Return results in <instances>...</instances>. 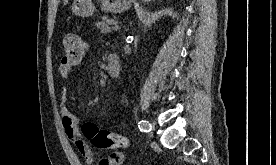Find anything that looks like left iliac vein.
Here are the masks:
<instances>
[{
	"label": "left iliac vein",
	"mask_w": 276,
	"mask_h": 165,
	"mask_svg": "<svg viewBox=\"0 0 276 165\" xmlns=\"http://www.w3.org/2000/svg\"><path fill=\"white\" fill-rule=\"evenodd\" d=\"M155 130V123L153 122L152 124H151V131H150V135H152V133H153V131Z\"/></svg>",
	"instance_id": "4c4485c4"
}]
</instances>
